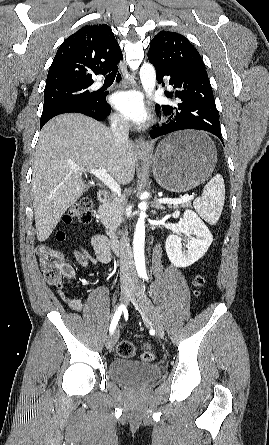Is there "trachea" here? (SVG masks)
Masks as SVG:
<instances>
[{
    "mask_svg": "<svg viewBox=\"0 0 269 445\" xmlns=\"http://www.w3.org/2000/svg\"><path fill=\"white\" fill-rule=\"evenodd\" d=\"M108 76H115V74L114 73H110Z\"/></svg>",
    "mask_w": 269,
    "mask_h": 445,
    "instance_id": "trachea-1",
    "label": "trachea"
}]
</instances>
